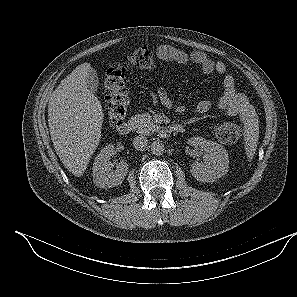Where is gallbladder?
<instances>
[{"instance_id":"bac80fb5","label":"gallbladder","mask_w":297,"mask_h":297,"mask_svg":"<svg viewBox=\"0 0 297 297\" xmlns=\"http://www.w3.org/2000/svg\"><path fill=\"white\" fill-rule=\"evenodd\" d=\"M85 81H86V86L88 87V89L92 93H95L98 89L99 80H98L97 72L94 68L91 67L88 70V74L85 78Z\"/></svg>"}]
</instances>
